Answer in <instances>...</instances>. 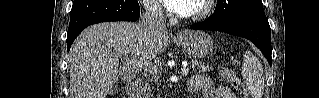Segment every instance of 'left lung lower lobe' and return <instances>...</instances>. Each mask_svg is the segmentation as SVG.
I'll list each match as a JSON object with an SVG mask.
<instances>
[{
  "mask_svg": "<svg viewBox=\"0 0 319 98\" xmlns=\"http://www.w3.org/2000/svg\"><path fill=\"white\" fill-rule=\"evenodd\" d=\"M190 28L221 31L249 39L261 50L269 64L272 63L270 26L263 7L248 9L226 21L218 23L200 22L191 25Z\"/></svg>",
  "mask_w": 319,
  "mask_h": 98,
  "instance_id": "0a47b994",
  "label": "left lung lower lobe"
}]
</instances>
